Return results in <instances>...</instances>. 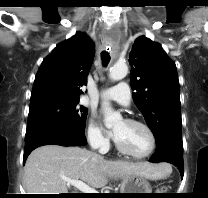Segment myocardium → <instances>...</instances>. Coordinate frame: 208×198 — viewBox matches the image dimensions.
Returning <instances> with one entry per match:
<instances>
[{"instance_id":"1","label":"myocardium","mask_w":208,"mask_h":198,"mask_svg":"<svg viewBox=\"0 0 208 198\" xmlns=\"http://www.w3.org/2000/svg\"><path fill=\"white\" fill-rule=\"evenodd\" d=\"M124 121H126L127 123H130V124L140 126L148 133L149 138H150V148L144 154H135V153L131 152L130 150H128L126 147H124L121 143H119L115 139V146H116L117 150L119 152H121L122 154L127 155L131 158H134V159H145V158H148L149 156H151L154 153L156 146H157L156 135H155L154 131L152 130V128L148 124H146L145 122L134 119V118H127Z\"/></svg>"}]
</instances>
